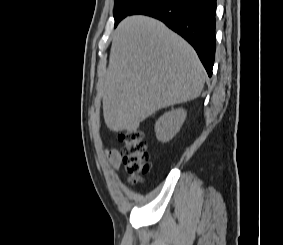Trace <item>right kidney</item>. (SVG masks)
<instances>
[{
    "label": "right kidney",
    "instance_id": "obj_1",
    "mask_svg": "<svg viewBox=\"0 0 283 245\" xmlns=\"http://www.w3.org/2000/svg\"><path fill=\"white\" fill-rule=\"evenodd\" d=\"M186 116L187 112L181 108L165 113L155 124L157 139L161 142L171 140L180 130Z\"/></svg>",
    "mask_w": 283,
    "mask_h": 245
}]
</instances>
